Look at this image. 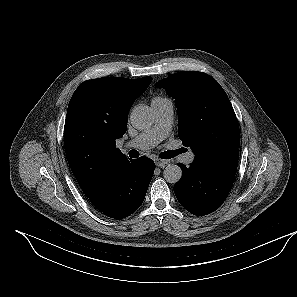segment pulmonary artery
<instances>
[{"label": "pulmonary artery", "instance_id": "obj_1", "mask_svg": "<svg viewBox=\"0 0 297 297\" xmlns=\"http://www.w3.org/2000/svg\"><path fill=\"white\" fill-rule=\"evenodd\" d=\"M151 107L155 115L154 125L127 142L124 146L125 148L147 150L156 146L170 133L174 120V105L172 100L169 98L153 99ZM194 158V152L189 151L183 156L182 160L184 163L189 164L194 161Z\"/></svg>", "mask_w": 297, "mask_h": 297}]
</instances>
